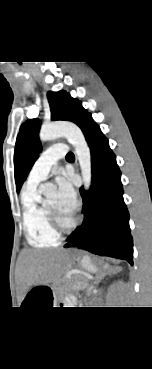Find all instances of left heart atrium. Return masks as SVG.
I'll return each mask as SVG.
<instances>
[{
  "instance_id": "1",
  "label": "left heart atrium",
  "mask_w": 152,
  "mask_h": 369,
  "mask_svg": "<svg viewBox=\"0 0 152 369\" xmlns=\"http://www.w3.org/2000/svg\"><path fill=\"white\" fill-rule=\"evenodd\" d=\"M58 186V200L61 210L68 215H72L78 206L76 192L66 177H59L57 179Z\"/></svg>"
}]
</instances>
